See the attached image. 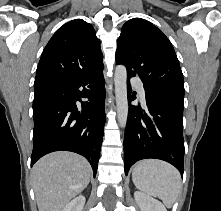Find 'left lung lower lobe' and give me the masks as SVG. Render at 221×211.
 I'll return each instance as SVG.
<instances>
[{
  "label": "left lung lower lobe",
  "mask_w": 221,
  "mask_h": 211,
  "mask_svg": "<svg viewBox=\"0 0 221 211\" xmlns=\"http://www.w3.org/2000/svg\"><path fill=\"white\" fill-rule=\"evenodd\" d=\"M127 73L128 101L131 95ZM146 111L129 104L124 137V166L127 174L130 167L141 159L155 158L174 165L183 177L184 139L183 108L184 94L176 91L150 89L144 85Z\"/></svg>",
  "instance_id": "left-lung-lower-lobe-1"
}]
</instances>
